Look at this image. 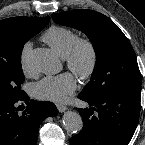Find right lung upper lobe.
<instances>
[{"mask_svg": "<svg viewBox=\"0 0 145 145\" xmlns=\"http://www.w3.org/2000/svg\"><path fill=\"white\" fill-rule=\"evenodd\" d=\"M47 17H13L0 21V60H7L15 54V48L11 44L10 39L16 31L29 24L39 21H48Z\"/></svg>", "mask_w": 145, "mask_h": 145, "instance_id": "cb5924a9", "label": "right lung upper lobe"}]
</instances>
